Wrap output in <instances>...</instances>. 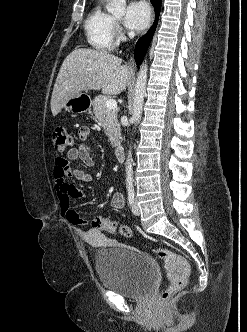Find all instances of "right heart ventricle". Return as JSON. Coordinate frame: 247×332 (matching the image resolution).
Segmentation results:
<instances>
[{"mask_svg":"<svg viewBox=\"0 0 247 332\" xmlns=\"http://www.w3.org/2000/svg\"><path fill=\"white\" fill-rule=\"evenodd\" d=\"M86 38L90 46L99 51H110L114 47L115 21L99 2L85 21Z\"/></svg>","mask_w":247,"mask_h":332,"instance_id":"obj_1","label":"right heart ventricle"}]
</instances>
